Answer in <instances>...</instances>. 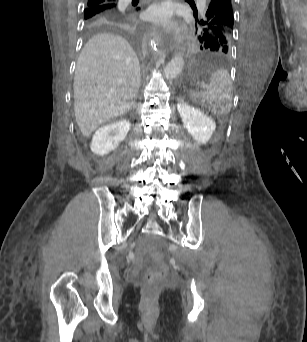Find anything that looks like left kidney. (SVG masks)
I'll return each instance as SVG.
<instances>
[{
  "label": "left kidney",
  "instance_id": "5707ae66",
  "mask_svg": "<svg viewBox=\"0 0 307 342\" xmlns=\"http://www.w3.org/2000/svg\"><path fill=\"white\" fill-rule=\"evenodd\" d=\"M177 110L184 128L193 136L194 140H197L198 144H207L216 128L213 118L206 116L198 108L189 106L183 100H179Z\"/></svg>",
  "mask_w": 307,
  "mask_h": 342
}]
</instances>
